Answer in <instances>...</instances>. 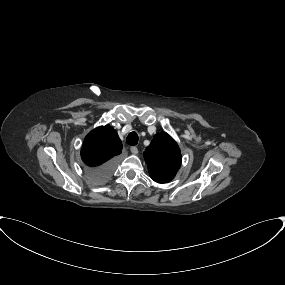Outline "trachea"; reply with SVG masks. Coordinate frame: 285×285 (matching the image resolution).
<instances>
[{"label": "trachea", "mask_w": 285, "mask_h": 285, "mask_svg": "<svg viewBox=\"0 0 285 285\" xmlns=\"http://www.w3.org/2000/svg\"><path fill=\"white\" fill-rule=\"evenodd\" d=\"M126 142L128 145H136L138 143V135L136 132H131L126 138Z\"/></svg>", "instance_id": "1"}]
</instances>
